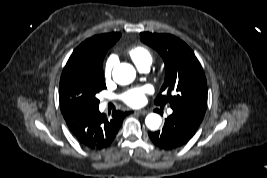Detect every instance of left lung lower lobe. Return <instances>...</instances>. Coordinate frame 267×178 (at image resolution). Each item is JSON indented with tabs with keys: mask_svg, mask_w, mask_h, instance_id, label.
<instances>
[{
	"mask_svg": "<svg viewBox=\"0 0 267 178\" xmlns=\"http://www.w3.org/2000/svg\"><path fill=\"white\" fill-rule=\"evenodd\" d=\"M172 110L162 130L148 133L151 141L165 150L185 145L195 135L202 122L181 109L172 108Z\"/></svg>",
	"mask_w": 267,
	"mask_h": 178,
	"instance_id": "obj_1",
	"label": "left lung lower lobe"
}]
</instances>
